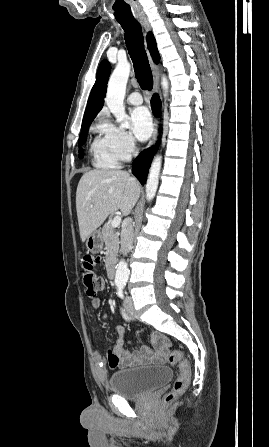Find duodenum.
<instances>
[{
	"label": "duodenum",
	"instance_id": "1",
	"mask_svg": "<svg viewBox=\"0 0 269 447\" xmlns=\"http://www.w3.org/2000/svg\"><path fill=\"white\" fill-rule=\"evenodd\" d=\"M107 276L109 279L113 280L116 275V266H115V260L110 259L107 263Z\"/></svg>",
	"mask_w": 269,
	"mask_h": 447
}]
</instances>
